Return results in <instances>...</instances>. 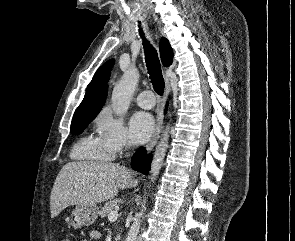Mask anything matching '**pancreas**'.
Here are the masks:
<instances>
[{
	"mask_svg": "<svg viewBox=\"0 0 295 241\" xmlns=\"http://www.w3.org/2000/svg\"><path fill=\"white\" fill-rule=\"evenodd\" d=\"M117 205V201L116 200H111L109 202H107L104 207L99 211V215L101 218H105L107 215H109V213L111 211L114 210V208Z\"/></svg>",
	"mask_w": 295,
	"mask_h": 241,
	"instance_id": "obj_1",
	"label": "pancreas"
}]
</instances>
